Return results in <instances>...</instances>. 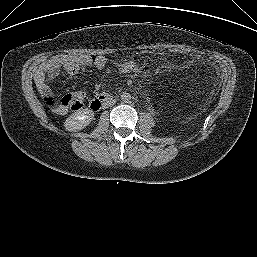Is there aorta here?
<instances>
[{
  "mask_svg": "<svg viewBox=\"0 0 257 257\" xmlns=\"http://www.w3.org/2000/svg\"><path fill=\"white\" fill-rule=\"evenodd\" d=\"M121 100L125 103H128L131 100V95L129 93H123L121 95Z\"/></svg>",
  "mask_w": 257,
  "mask_h": 257,
  "instance_id": "1",
  "label": "aorta"
}]
</instances>
